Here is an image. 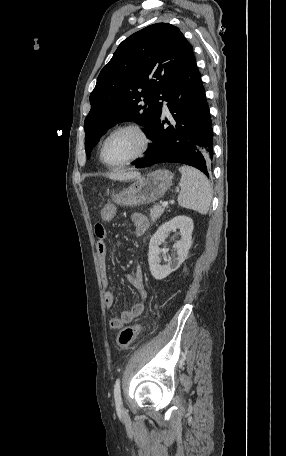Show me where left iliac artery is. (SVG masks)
Returning a JSON list of instances; mask_svg holds the SVG:
<instances>
[{
	"mask_svg": "<svg viewBox=\"0 0 286 456\" xmlns=\"http://www.w3.org/2000/svg\"><path fill=\"white\" fill-rule=\"evenodd\" d=\"M114 399L117 405L122 404L121 391H120V379L118 378L114 385Z\"/></svg>",
	"mask_w": 286,
	"mask_h": 456,
	"instance_id": "obj_1",
	"label": "left iliac artery"
}]
</instances>
